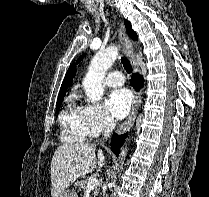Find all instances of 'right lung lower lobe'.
<instances>
[{"instance_id":"1","label":"right lung lower lobe","mask_w":209,"mask_h":197,"mask_svg":"<svg viewBox=\"0 0 209 197\" xmlns=\"http://www.w3.org/2000/svg\"><path fill=\"white\" fill-rule=\"evenodd\" d=\"M144 80L142 76L139 74L133 75L131 78V84L136 89V91H139V89L143 86ZM127 134L124 135H117L114 134L111 139V150L116 154L119 155L120 147L124 143V140L126 138Z\"/></svg>"}]
</instances>
